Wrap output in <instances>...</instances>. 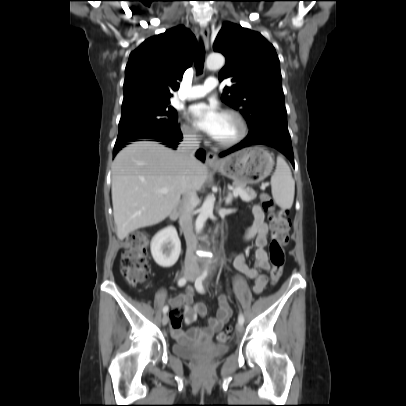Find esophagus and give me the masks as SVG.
<instances>
[{
  "instance_id": "1",
  "label": "esophagus",
  "mask_w": 406,
  "mask_h": 406,
  "mask_svg": "<svg viewBox=\"0 0 406 406\" xmlns=\"http://www.w3.org/2000/svg\"><path fill=\"white\" fill-rule=\"evenodd\" d=\"M203 42H204V46L205 49H209V35H210V31L209 28L207 26H202L201 30H200ZM206 162L209 165H215L219 163V158L217 156L216 153L214 152H208L206 155Z\"/></svg>"
}]
</instances>
